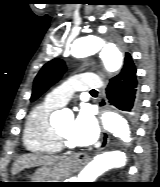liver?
I'll list each match as a JSON object with an SVG mask.
<instances>
[{"mask_svg":"<svg viewBox=\"0 0 160 187\" xmlns=\"http://www.w3.org/2000/svg\"><path fill=\"white\" fill-rule=\"evenodd\" d=\"M61 156H44L37 154H25L20 156L13 164L12 174L16 175L25 168L36 166H50L56 162L63 160Z\"/></svg>","mask_w":160,"mask_h":187,"instance_id":"1","label":"liver"}]
</instances>
